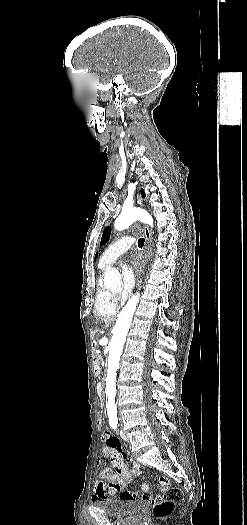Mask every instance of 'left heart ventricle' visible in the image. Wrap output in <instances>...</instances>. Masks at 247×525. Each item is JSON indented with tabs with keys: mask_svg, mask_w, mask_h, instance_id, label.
Instances as JSON below:
<instances>
[{
	"mask_svg": "<svg viewBox=\"0 0 247 525\" xmlns=\"http://www.w3.org/2000/svg\"><path fill=\"white\" fill-rule=\"evenodd\" d=\"M128 255L129 254H125L118 260L117 266H118V268L120 269L121 272H123L124 270H128L130 268ZM110 289L116 290V288H110ZM142 324H147V323L144 322Z\"/></svg>",
	"mask_w": 247,
	"mask_h": 525,
	"instance_id": "1",
	"label": "left heart ventricle"
}]
</instances>
